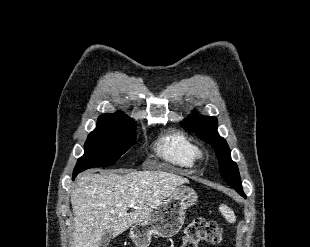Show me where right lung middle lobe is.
Segmentation results:
<instances>
[{"mask_svg":"<svg viewBox=\"0 0 310 247\" xmlns=\"http://www.w3.org/2000/svg\"><path fill=\"white\" fill-rule=\"evenodd\" d=\"M135 140V123L99 118L97 128L88 135L85 153L78 159L74 172L115 164Z\"/></svg>","mask_w":310,"mask_h":247,"instance_id":"1","label":"right lung middle lobe"}]
</instances>
